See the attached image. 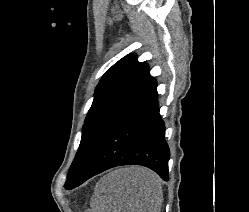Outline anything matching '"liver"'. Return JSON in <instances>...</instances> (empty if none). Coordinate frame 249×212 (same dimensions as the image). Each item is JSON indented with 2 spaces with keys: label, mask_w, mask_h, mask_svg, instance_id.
I'll use <instances>...</instances> for the list:
<instances>
[{
  "label": "liver",
  "mask_w": 249,
  "mask_h": 212,
  "mask_svg": "<svg viewBox=\"0 0 249 212\" xmlns=\"http://www.w3.org/2000/svg\"><path fill=\"white\" fill-rule=\"evenodd\" d=\"M163 192L152 170L129 166L110 170L96 184L91 212H160Z\"/></svg>",
  "instance_id": "obj_1"
}]
</instances>
